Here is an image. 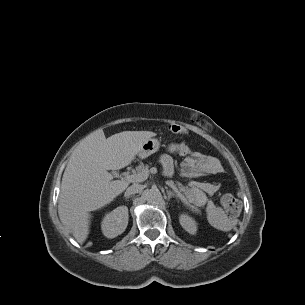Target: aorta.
<instances>
[{"mask_svg": "<svg viewBox=\"0 0 305 305\" xmlns=\"http://www.w3.org/2000/svg\"><path fill=\"white\" fill-rule=\"evenodd\" d=\"M145 199L150 204H157L162 200V195L157 188L145 191Z\"/></svg>", "mask_w": 305, "mask_h": 305, "instance_id": "762f6f07", "label": "aorta"}]
</instances>
